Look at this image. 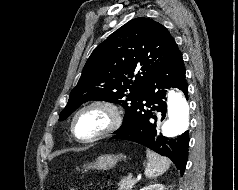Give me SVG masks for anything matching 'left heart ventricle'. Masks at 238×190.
Listing matches in <instances>:
<instances>
[{
  "instance_id": "1",
  "label": "left heart ventricle",
  "mask_w": 238,
  "mask_h": 190,
  "mask_svg": "<svg viewBox=\"0 0 238 190\" xmlns=\"http://www.w3.org/2000/svg\"><path fill=\"white\" fill-rule=\"evenodd\" d=\"M108 124L107 114L99 109H92L83 113L76 122L78 135L92 136L103 130Z\"/></svg>"
}]
</instances>
